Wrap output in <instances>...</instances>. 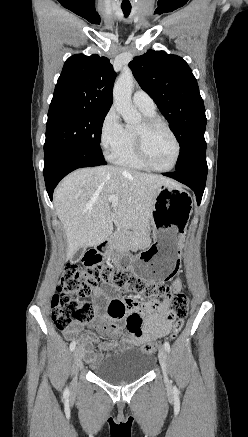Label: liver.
I'll return each mask as SVG.
<instances>
[{
	"mask_svg": "<svg viewBox=\"0 0 248 437\" xmlns=\"http://www.w3.org/2000/svg\"><path fill=\"white\" fill-rule=\"evenodd\" d=\"M174 182L156 174L115 166L81 168L64 178L53 202L67 239V259L80 248L94 247L119 231L139 237L146 230L158 189ZM116 196V206L109 196Z\"/></svg>",
	"mask_w": 248,
	"mask_h": 437,
	"instance_id": "liver-1",
	"label": "liver"
}]
</instances>
